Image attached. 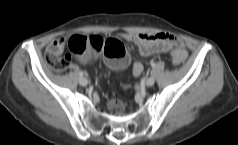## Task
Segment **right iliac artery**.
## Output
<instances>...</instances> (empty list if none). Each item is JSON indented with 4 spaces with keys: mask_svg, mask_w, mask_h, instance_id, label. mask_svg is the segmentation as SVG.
Segmentation results:
<instances>
[{
    "mask_svg": "<svg viewBox=\"0 0 238 145\" xmlns=\"http://www.w3.org/2000/svg\"><path fill=\"white\" fill-rule=\"evenodd\" d=\"M84 74H85V73L82 72V71L79 72V75H80L81 77H82Z\"/></svg>",
    "mask_w": 238,
    "mask_h": 145,
    "instance_id": "1",
    "label": "right iliac artery"
}]
</instances>
